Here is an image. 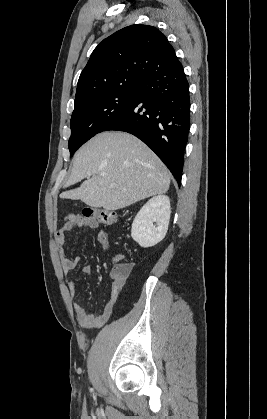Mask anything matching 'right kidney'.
<instances>
[{"instance_id":"right-kidney-1","label":"right kidney","mask_w":267,"mask_h":419,"mask_svg":"<svg viewBox=\"0 0 267 419\" xmlns=\"http://www.w3.org/2000/svg\"><path fill=\"white\" fill-rule=\"evenodd\" d=\"M168 196L151 198L137 213L132 223L131 236L141 247H151L162 241L170 220Z\"/></svg>"}]
</instances>
